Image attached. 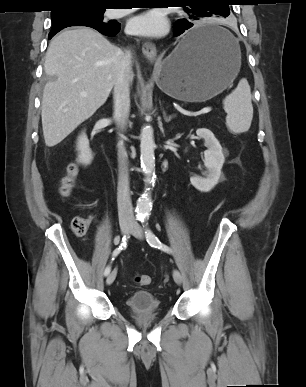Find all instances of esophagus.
Listing matches in <instances>:
<instances>
[{
  "label": "esophagus",
  "instance_id": "1",
  "mask_svg": "<svg viewBox=\"0 0 306 387\" xmlns=\"http://www.w3.org/2000/svg\"><path fill=\"white\" fill-rule=\"evenodd\" d=\"M142 52L150 62H155L157 60V49L153 43L145 42L142 47Z\"/></svg>",
  "mask_w": 306,
  "mask_h": 387
}]
</instances>
